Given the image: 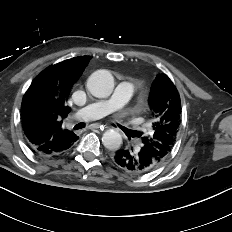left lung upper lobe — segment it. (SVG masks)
Returning <instances> with one entry per match:
<instances>
[{
    "label": "left lung upper lobe",
    "instance_id": "obj_1",
    "mask_svg": "<svg viewBox=\"0 0 232 232\" xmlns=\"http://www.w3.org/2000/svg\"><path fill=\"white\" fill-rule=\"evenodd\" d=\"M149 108L154 119L148 135L138 132L145 150L159 163L171 152L181 123V99L173 82L165 74L156 76L149 94Z\"/></svg>",
    "mask_w": 232,
    "mask_h": 232
}]
</instances>
